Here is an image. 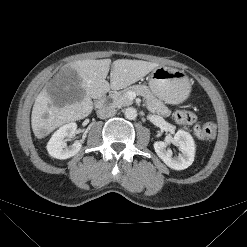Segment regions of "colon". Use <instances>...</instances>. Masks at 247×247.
<instances>
[{
	"label": "colon",
	"mask_w": 247,
	"mask_h": 247,
	"mask_svg": "<svg viewBox=\"0 0 247 247\" xmlns=\"http://www.w3.org/2000/svg\"><path fill=\"white\" fill-rule=\"evenodd\" d=\"M175 120L184 125H192L197 121V114L191 109H182L176 112ZM195 134L204 140H212L216 135V126L213 123L194 126Z\"/></svg>",
	"instance_id": "colon-1"
}]
</instances>
